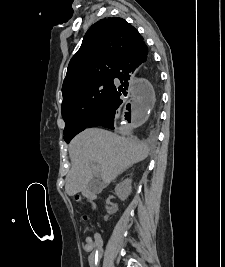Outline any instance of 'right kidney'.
<instances>
[{
	"label": "right kidney",
	"mask_w": 225,
	"mask_h": 267,
	"mask_svg": "<svg viewBox=\"0 0 225 267\" xmlns=\"http://www.w3.org/2000/svg\"><path fill=\"white\" fill-rule=\"evenodd\" d=\"M132 179L126 178L115 187V193L121 200H126L132 191Z\"/></svg>",
	"instance_id": "right-kidney-1"
}]
</instances>
